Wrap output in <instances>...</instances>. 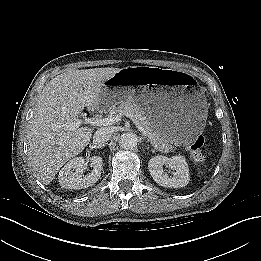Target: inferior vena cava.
I'll list each match as a JSON object with an SVG mask.
<instances>
[{
	"label": "inferior vena cava",
	"instance_id": "1",
	"mask_svg": "<svg viewBox=\"0 0 261 261\" xmlns=\"http://www.w3.org/2000/svg\"><path fill=\"white\" fill-rule=\"evenodd\" d=\"M112 136V130L107 127L98 129L93 136V139L96 143H104L110 140Z\"/></svg>",
	"mask_w": 261,
	"mask_h": 261
}]
</instances>
